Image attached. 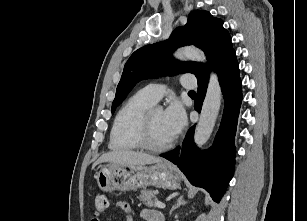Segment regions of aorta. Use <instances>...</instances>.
<instances>
[{
  "label": "aorta",
  "instance_id": "obj_1",
  "mask_svg": "<svg viewBox=\"0 0 307 221\" xmlns=\"http://www.w3.org/2000/svg\"><path fill=\"white\" fill-rule=\"evenodd\" d=\"M177 59H190L206 63L205 54L198 48L189 46L176 51ZM221 106V87L216 73L211 72L206 96L202 105L199 122L195 129L194 142L204 145L210 138Z\"/></svg>",
  "mask_w": 307,
  "mask_h": 221
}]
</instances>
